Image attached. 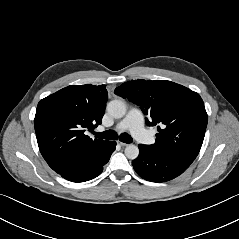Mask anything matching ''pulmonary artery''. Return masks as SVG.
Wrapping results in <instances>:
<instances>
[{"mask_svg": "<svg viewBox=\"0 0 239 239\" xmlns=\"http://www.w3.org/2000/svg\"><path fill=\"white\" fill-rule=\"evenodd\" d=\"M115 130H129L132 135L144 144H152L154 137L144 127V117L140 110L132 108L127 115L116 125Z\"/></svg>", "mask_w": 239, "mask_h": 239, "instance_id": "obj_1", "label": "pulmonary artery"}]
</instances>
